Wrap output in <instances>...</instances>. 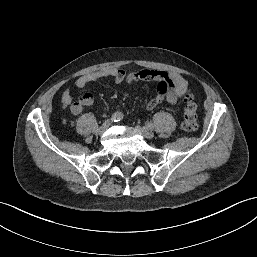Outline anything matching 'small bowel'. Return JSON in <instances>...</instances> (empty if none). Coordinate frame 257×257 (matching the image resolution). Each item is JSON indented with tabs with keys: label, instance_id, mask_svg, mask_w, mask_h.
I'll use <instances>...</instances> for the list:
<instances>
[{
	"label": "small bowel",
	"instance_id": "1",
	"mask_svg": "<svg viewBox=\"0 0 257 257\" xmlns=\"http://www.w3.org/2000/svg\"><path fill=\"white\" fill-rule=\"evenodd\" d=\"M104 78H111L116 84L123 82L133 84L139 81L156 82L158 84L157 91L148 102L147 110H153L164 99L169 104L174 105L190 93L188 81L184 76L179 73H168L156 69H142L131 73H126L125 70L117 68L101 69L80 76L75 81V86L82 89L88 83ZM62 103L65 106H70L72 114L79 115L84 107L93 105L94 97L91 93L86 92L77 101L72 102L71 90L66 89L62 94Z\"/></svg>",
	"mask_w": 257,
	"mask_h": 257
}]
</instances>
